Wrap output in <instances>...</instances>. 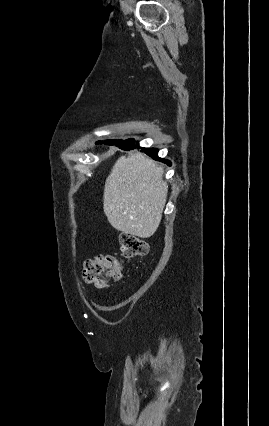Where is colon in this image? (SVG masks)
<instances>
[{
    "label": "colon",
    "mask_w": 269,
    "mask_h": 426,
    "mask_svg": "<svg viewBox=\"0 0 269 426\" xmlns=\"http://www.w3.org/2000/svg\"><path fill=\"white\" fill-rule=\"evenodd\" d=\"M122 256L133 259L148 252V244L141 237L130 233L119 236ZM124 264L113 255H100L84 262L82 278L85 282L96 286H106L110 281H119L124 276Z\"/></svg>",
    "instance_id": "colon-1"
}]
</instances>
